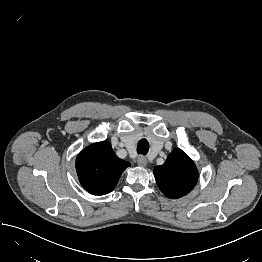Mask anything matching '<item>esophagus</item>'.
Returning <instances> with one entry per match:
<instances>
[{"instance_id": "34e87169", "label": "esophagus", "mask_w": 262, "mask_h": 262, "mask_svg": "<svg viewBox=\"0 0 262 262\" xmlns=\"http://www.w3.org/2000/svg\"><path fill=\"white\" fill-rule=\"evenodd\" d=\"M137 162L141 166L147 165V159L144 156H139L138 159H137Z\"/></svg>"}]
</instances>
